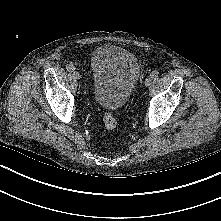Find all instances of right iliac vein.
<instances>
[{
  "mask_svg": "<svg viewBox=\"0 0 221 221\" xmlns=\"http://www.w3.org/2000/svg\"><path fill=\"white\" fill-rule=\"evenodd\" d=\"M73 75H74V77H75L76 79H80V78H81V74H80L79 71H74V72H73Z\"/></svg>",
  "mask_w": 221,
  "mask_h": 221,
  "instance_id": "obj_1",
  "label": "right iliac vein"
}]
</instances>
